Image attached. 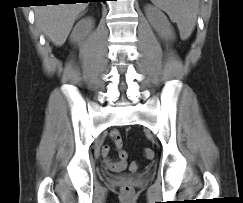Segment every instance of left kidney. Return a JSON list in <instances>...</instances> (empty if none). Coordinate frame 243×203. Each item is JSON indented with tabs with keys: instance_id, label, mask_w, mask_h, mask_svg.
Returning <instances> with one entry per match:
<instances>
[{
	"instance_id": "5707ae66",
	"label": "left kidney",
	"mask_w": 243,
	"mask_h": 203,
	"mask_svg": "<svg viewBox=\"0 0 243 203\" xmlns=\"http://www.w3.org/2000/svg\"><path fill=\"white\" fill-rule=\"evenodd\" d=\"M146 16L160 37L165 40L174 39L173 28L164 13L154 7L148 6L146 8Z\"/></svg>"
}]
</instances>
